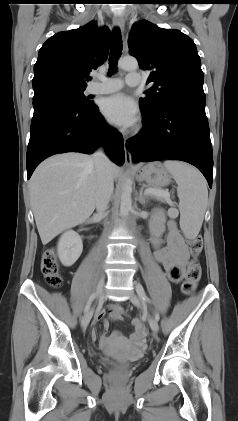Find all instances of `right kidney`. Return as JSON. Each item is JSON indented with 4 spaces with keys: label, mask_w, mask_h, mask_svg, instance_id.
Segmentation results:
<instances>
[{
    "label": "right kidney",
    "mask_w": 238,
    "mask_h": 421,
    "mask_svg": "<svg viewBox=\"0 0 238 421\" xmlns=\"http://www.w3.org/2000/svg\"><path fill=\"white\" fill-rule=\"evenodd\" d=\"M83 250L81 237L73 230H68L62 234L58 242V256L61 263L72 266L80 257Z\"/></svg>",
    "instance_id": "right-kidney-1"
}]
</instances>
